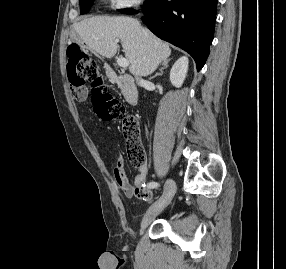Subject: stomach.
<instances>
[{"mask_svg": "<svg viewBox=\"0 0 286 269\" xmlns=\"http://www.w3.org/2000/svg\"><path fill=\"white\" fill-rule=\"evenodd\" d=\"M71 39H72V41L77 42L79 45H83V42L80 38L72 36Z\"/></svg>", "mask_w": 286, "mask_h": 269, "instance_id": "0dacf381", "label": "stomach"}]
</instances>
